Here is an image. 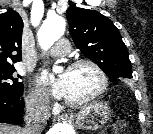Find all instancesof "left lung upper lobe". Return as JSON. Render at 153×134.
<instances>
[{
    "mask_svg": "<svg viewBox=\"0 0 153 134\" xmlns=\"http://www.w3.org/2000/svg\"><path fill=\"white\" fill-rule=\"evenodd\" d=\"M66 16L72 39L83 55L94 61L113 81L132 78L127 48L109 18L75 5L67 9Z\"/></svg>",
    "mask_w": 153,
    "mask_h": 134,
    "instance_id": "left-lung-upper-lobe-1",
    "label": "left lung upper lobe"
}]
</instances>
